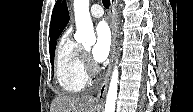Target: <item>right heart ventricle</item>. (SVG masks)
Returning <instances> with one entry per match:
<instances>
[{"label": "right heart ventricle", "instance_id": "obj_1", "mask_svg": "<svg viewBox=\"0 0 193 112\" xmlns=\"http://www.w3.org/2000/svg\"><path fill=\"white\" fill-rule=\"evenodd\" d=\"M55 74L60 88L67 93L82 91L88 82L84 52L67 30L59 40L55 54Z\"/></svg>", "mask_w": 193, "mask_h": 112}]
</instances>
